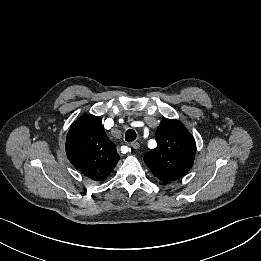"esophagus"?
<instances>
[{
    "label": "esophagus",
    "mask_w": 261,
    "mask_h": 261,
    "mask_svg": "<svg viewBox=\"0 0 261 261\" xmlns=\"http://www.w3.org/2000/svg\"><path fill=\"white\" fill-rule=\"evenodd\" d=\"M130 146L133 148V149H139L140 148V144L138 142H132L130 144Z\"/></svg>",
    "instance_id": "obj_1"
}]
</instances>
